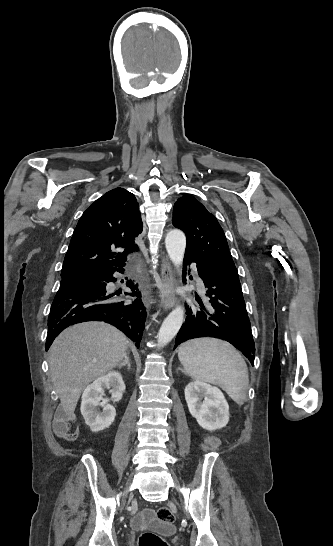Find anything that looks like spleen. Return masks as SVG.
<instances>
[{"label":"spleen","instance_id":"3e777b00","mask_svg":"<svg viewBox=\"0 0 333 546\" xmlns=\"http://www.w3.org/2000/svg\"><path fill=\"white\" fill-rule=\"evenodd\" d=\"M178 358L191 378L218 385L237 404H244L248 368L232 345L216 338L192 339L180 345Z\"/></svg>","mask_w":333,"mask_h":546}]
</instances>
